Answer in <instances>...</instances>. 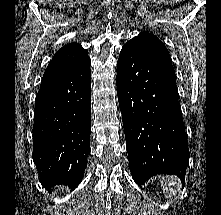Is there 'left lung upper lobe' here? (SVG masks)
Listing matches in <instances>:
<instances>
[{
    "instance_id": "obj_1",
    "label": "left lung upper lobe",
    "mask_w": 221,
    "mask_h": 215,
    "mask_svg": "<svg viewBox=\"0 0 221 215\" xmlns=\"http://www.w3.org/2000/svg\"><path fill=\"white\" fill-rule=\"evenodd\" d=\"M127 44L137 47L140 51L162 64L164 67L175 72L168 50L166 49L165 45L153 34L142 32L138 36L128 41Z\"/></svg>"
}]
</instances>
